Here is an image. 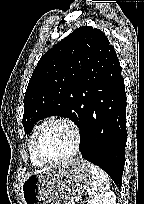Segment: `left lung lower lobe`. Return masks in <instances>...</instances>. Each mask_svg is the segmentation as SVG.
Masks as SVG:
<instances>
[{
    "mask_svg": "<svg viewBox=\"0 0 144 204\" xmlns=\"http://www.w3.org/2000/svg\"><path fill=\"white\" fill-rule=\"evenodd\" d=\"M80 130L82 157L102 168L121 188L125 162L126 93L118 58L96 69Z\"/></svg>",
    "mask_w": 144,
    "mask_h": 204,
    "instance_id": "left-lung-lower-lobe-1",
    "label": "left lung lower lobe"
}]
</instances>
